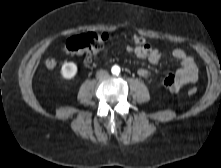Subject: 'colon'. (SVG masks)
<instances>
[{"instance_id": "obj_1", "label": "colon", "mask_w": 221, "mask_h": 168, "mask_svg": "<svg viewBox=\"0 0 221 168\" xmlns=\"http://www.w3.org/2000/svg\"><path fill=\"white\" fill-rule=\"evenodd\" d=\"M111 40L108 32L79 34L70 37L65 43V51L69 55L88 54L92 51L97 43L107 44ZM132 45L137 47H144L147 45L148 40L142 36H132L130 39ZM47 68L52 69L56 66V60L54 58H47L45 60ZM197 89L192 87L188 90L189 95H195Z\"/></svg>"}]
</instances>
